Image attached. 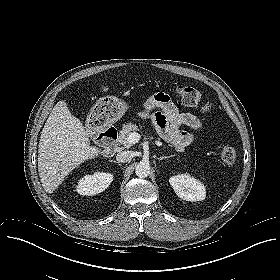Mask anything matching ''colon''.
Masks as SVG:
<instances>
[{
    "label": "colon",
    "instance_id": "5ec220e1",
    "mask_svg": "<svg viewBox=\"0 0 280 280\" xmlns=\"http://www.w3.org/2000/svg\"><path fill=\"white\" fill-rule=\"evenodd\" d=\"M176 94L184 105L197 107L203 114H208L211 110L210 102L205 100L200 91L192 86L180 85L176 88ZM220 157L223 163L233 164L237 158L236 149L225 144L221 147Z\"/></svg>",
    "mask_w": 280,
    "mask_h": 280
}]
</instances>
